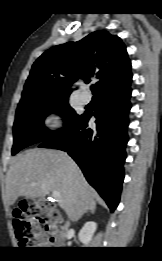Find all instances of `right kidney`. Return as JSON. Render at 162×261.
Returning <instances> with one entry per match:
<instances>
[{
  "mask_svg": "<svg viewBox=\"0 0 162 261\" xmlns=\"http://www.w3.org/2000/svg\"><path fill=\"white\" fill-rule=\"evenodd\" d=\"M97 229V224L93 221L86 222L80 230L78 237L79 240L87 245L92 240V237Z\"/></svg>",
  "mask_w": 162,
  "mask_h": 261,
  "instance_id": "obj_1",
  "label": "right kidney"
}]
</instances>
